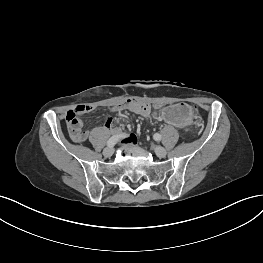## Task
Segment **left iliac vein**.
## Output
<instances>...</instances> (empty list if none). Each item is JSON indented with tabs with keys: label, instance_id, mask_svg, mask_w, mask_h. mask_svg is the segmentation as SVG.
<instances>
[{
	"label": "left iliac vein",
	"instance_id": "left-iliac-vein-1",
	"mask_svg": "<svg viewBox=\"0 0 263 263\" xmlns=\"http://www.w3.org/2000/svg\"><path fill=\"white\" fill-rule=\"evenodd\" d=\"M154 151L156 153V155L160 158H163L166 156L167 152L166 150L163 148V147H160V146H155L154 147Z\"/></svg>",
	"mask_w": 263,
	"mask_h": 263
}]
</instances>
